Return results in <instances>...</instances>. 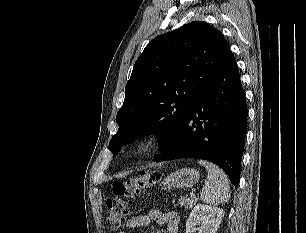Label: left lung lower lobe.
Masks as SVG:
<instances>
[{
    "label": "left lung lower lobe",
    "mask_w": 306,
    "mask_h": 233,
    "mask_svg": "<svg viewBox=\"0 0 306 233\" xmlns=\"http://www.w3.org/2000/svg\"><path fill=\"white\" fill-rule=\"evenodd\" d=\"M247 132V106L232 52L154 161L202 158L217 164L237 189Z\"/></svg>",
    "instance_id": "0a47b994"
}]
</instances>
